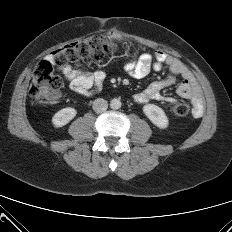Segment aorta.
<instances>
[{"label": "aorta", "instance_id": "obj_1", "mask_svg": "<svg viewBox=\"0 0 232 232\" xmlns=\"http://www.w3.org/2000/svg\"><path fill=\"white\" fill-rule=\"evenodd\" d=\"M110 107L112 109H119V108H121V101H120V99H117V98L112 99L111 102H110Z\"/></svg>", "mask_w": 232, "mask_h": 232}]
</instances>
